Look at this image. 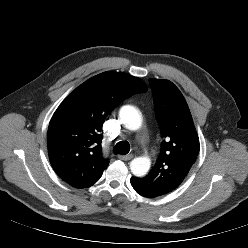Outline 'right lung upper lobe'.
<instances>
[{
    "label": "right lung upper lobe",
    "instance_id": "1",
    "mask_svg": "<svg viewBox=\"0 0 248 248\" xmlns=\"http://www.w3.org/2000/svg\"><path fill=\"white\" fill-rule=\"evenodd\" d=\"M146 91L141 79L114 71L76 88L57 108L48 128V153L57 175L75 188L96 183L109 164L101 147L106 116L126 98Z\"/></svg>",
    "mask_w": 248,
    "mask_h": 248
}]
</instances>
